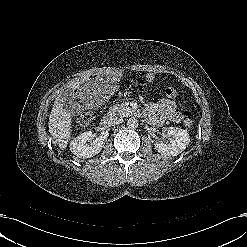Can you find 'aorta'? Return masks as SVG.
<instances>
[{
	"mask_svg": "<svg viewBox=\"0 0 247 247\" xmlns=\"http://www.w3.org/2000/svg\"><path fill=\"white\" fill-rule=\"evenodd\" d=\"M138 125H139V122H138L137 118H135V117L129 118L128 121H127V126L129 128H133L134 129V128H137Z\"/></svg>",
	"mask_w": 247,
	"mask_h": 247,
	"instance_id": "762f6f07",
	"label": "aorta"
}]
</instances>
